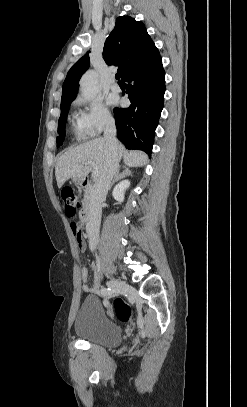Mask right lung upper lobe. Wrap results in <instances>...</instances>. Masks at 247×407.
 <instances>
[{
  "instance_id": "cb5924a9",
  "label": "right lung upper lobe",
  "mask_w": 247,
  "mask_h": 407,
  "mask_svg": "<svg viewBox=\"0 0 247 407\" xmlns=\"http://www.w3.org/2000/svg\"><path fill=\"white\" fill-rule=\"evenodd\" d=\"M160 56L146 31L145 25L129 16L116 19L115 27L107 37L103 58L108 65L119 66L122 79L133 69ZM89 68V55L80 58L69 70L63 84L61 104L77 96L79 80Z\"/></svg>"
}]
</instances>
